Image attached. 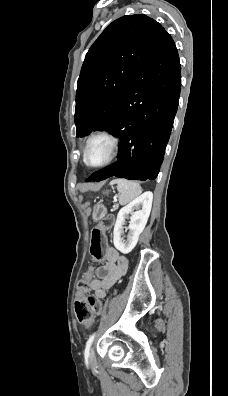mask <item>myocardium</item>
Instances as JSON below:
<instances>
[{
    "instance_id": "myocardium-1",
    "label": "myocardium",
    "mask_w": 228,
    "mask_h": 396,
    "mask_svg": "<svg viewBox=\"0 0 228 396\" xmlns=\"http://www.w3.org/2000/svg\"><path fill=\"white\" fill-rule=\"evenodd\" d=\"M96 138H104V139L108 140V142L110 144V149H109V154H108L107 158L103 162L98 163V164H92L88 161L87 152H88L90 143ZM118 148H119V140L112 132H110L108 130L96 131V132L92 133L86 140L84 150H83L84 163L90 168L105 167V166L109 165L115 159L117 152H118Z\"/></svg>"
}]
</instances>
